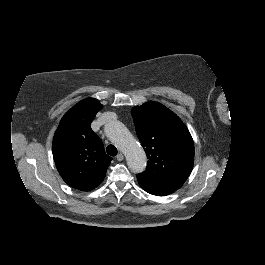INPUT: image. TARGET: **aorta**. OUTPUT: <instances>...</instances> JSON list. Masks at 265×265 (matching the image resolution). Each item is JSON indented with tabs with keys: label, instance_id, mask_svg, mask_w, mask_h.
Returning <instances> with one entry per match:
<instances>
[{
	"label": "aorta",
	"instance_id": "1",
	"mask_svg": "<svg viewBox=\"0 0 265 265\" xmlns=\"http://www.w3.org/2000/svg\"><path fill=\"white\" fill-rule=\"evenodd\" d=\"M104 133L108 140L117 143L125 154L126 162L129 169L141 174L146 170L147 157L142 146L135 141L127 127L119 120L106 123Z\"/></svg>",
	"mask_w": 265,
	"mask_h": 265
}]
</instances>
